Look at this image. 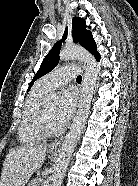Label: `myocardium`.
Listing matches in <instances>:
<instances>
[{
  "mask_svg": "<svg viewBox=\"0 0 138 186\" xmlns=\"http://www.w3.org/2000/svg\"><path fill=\"white\" fill-rule=\"evenodd\" d=\"M46 104L47 102L44 101L41 106L39 107L33 121L34 128L36 131L42 135L43 137H54L58 136L63 132V127L57 130H51L45 120V114H46Z\"/></svg>",
  "mask_w": 138,
  "mask_h": 186,
  "instance_id": "f54148a6",
  "label": "myocardium"
}]
</instances>
